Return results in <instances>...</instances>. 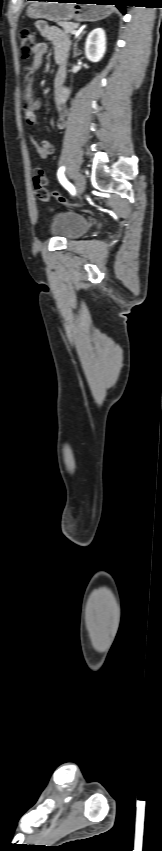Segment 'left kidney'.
<instances>
[{"mask_svg": "<svg viewBox=\"0 0 162 851\" xmlns=\"http://www.w3.org/2000/svg\"><path fill=\"white\" fill-rule=\"evenodd\" d=\"M106 51V35L102 28H96L89 33L85 42V55L91 62H99Z\"/></svg>", "mask_w": 162, "mask_h": 851, "instance_id": "obj_1", "label": "left kidney"}]
</instances>
